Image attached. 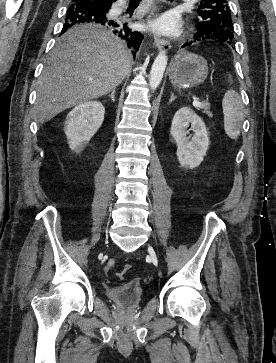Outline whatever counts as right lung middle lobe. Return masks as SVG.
Wrapping results in <instances>:
<instances>
[{"instance_id": "dd1d6c3e", "label": "right lung middle lobe", "mask_w": 276, "mask_h": 363, "mask_svg": "<svg viewBox=\"0 0 276 363\" xmlns=\"http://www.w3.org/2000/svg\"><path fill=\"white\" fill-rule=\"evenodd\" d=\"M77 1H78V0H73L71 5L78 4V3H77Z\"/></svg>"}]
</instances>
